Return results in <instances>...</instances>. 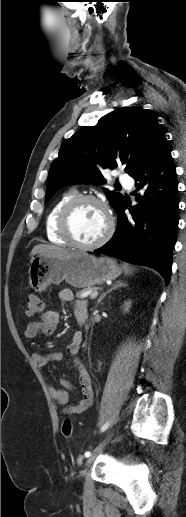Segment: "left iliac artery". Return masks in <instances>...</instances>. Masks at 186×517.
<instances>
[{
    "instance_id": "obj_1",
    "label": "left iliac artery",
    "mask_w": 186,
    "mask_h": 517,
    "mask_svg": "<svg viewBox=\"0 0 186 517\" xmlns=\"http://www.w3.org/2000/svg\"><path fill=\"white\" fill-rule=\"evenodd\" d=\"M107 427H108V424L106 423V424L101 428V430H102V431H104V430H106V428H107ZM89 456H91V452H90V451L85 452V457H89Z\"/></svg>"
}]
</instances>
